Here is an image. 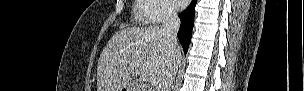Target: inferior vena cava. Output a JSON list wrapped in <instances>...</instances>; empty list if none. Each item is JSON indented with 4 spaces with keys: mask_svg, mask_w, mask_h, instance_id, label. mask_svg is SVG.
<instances>
[{
    "mask_svg": "<svg viewBox=\"0 0 304 91\" xmlns=\"http://www.w3.org/2000/svg\"><path fill=\"white\" fill-rule=\"evenodd\" d=\"M180 27V19L174 7L168 6L165 9V17L162 24V32L169 42L170 62L163 70L158 80L156 91H171L173 81L180 64V46L177 39V32Z\"/></svg>",
    "mask_w": 304,
    "mask_h": 91,
    "instance_id": "obj_1",
    "label": "inferior vena cava"
}]
</instances>
